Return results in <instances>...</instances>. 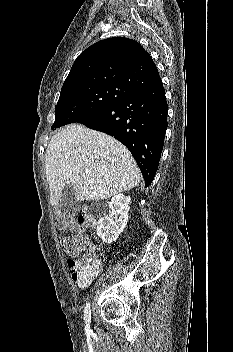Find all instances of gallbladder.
Here are the masks:
<instances>
[{
    "label": "gallbladder",
    "mask_w": 233,
    "mask_h": 352,
    "mask_svg": "<svg viewBox=\"0 0 233 352\" xmlns=\"http://www.w3.org/2000/svg\"><path fill=\"white\" fill-rule=\"evenodd\" d=\"M59 205L64 213L71 216L79 211V203L76 199L75 189L71 183L64 186Z\"/></svg>",
    "instance_id": "1"
}]
</instances>
